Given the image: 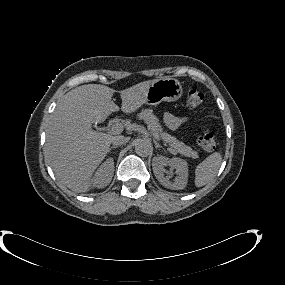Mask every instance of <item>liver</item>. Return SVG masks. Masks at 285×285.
Instances as JSON below:
<instances>
[{
  "label": "liver",
  "mask_w": 285,
  "mask_h": 285,
  "mask_svg": "<svg viewBox=\"0 0 285 285\" xmlns=\"http://www.w3.org/2000/svg\"><path fill=\"white\" fill-rule=\"evenodd\" d=\"M154 81L121 91V110L130 114L145 104L147 89ZM114 93L100 84L76 87L63 96L50 118L44 154L58 181L72 191L90 189L93 173L116 137L92 129V124L104 122L120 109L112 101Z\"/></svg>",
  "instance_id": "6515ba94"
}]
</instances>
